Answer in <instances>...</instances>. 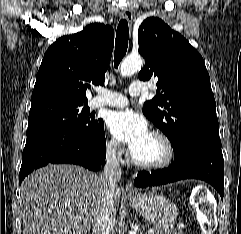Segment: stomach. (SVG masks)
<instances>
[{"mask_svg": "<svg viewBox=\"0 0 241 234\" xmlns=\"http://www.w3.org/2000/svg\"><path fill=\"white\" fill-rule=\"evenodd\" d=\"M128 200L147 221L158 229H167L174 225L178 209L168 198L155 192L128 196Z\"/></svg>", "mask_w": 241, "mask_h": 234, "instance_id": "1", "label": "stomach"}]
</instances>
